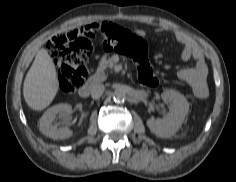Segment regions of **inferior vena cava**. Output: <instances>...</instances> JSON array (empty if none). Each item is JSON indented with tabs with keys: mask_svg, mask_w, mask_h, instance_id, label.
I'll use <instances>...</instances> for the list:
<instances>
[{
	"mask_svg": "<svg viewBox=\"0 0 236 182\" xmlns=\"http://www.w3.org/2000/svg\"><path fill=\"white\" fill-rule=\"evenodd\" d=\"M105 91V86L103 84H95L91 88V97L93 99H98Z\"/></svg>",
	"mask_w": 236,
	"mask_h": 182,
	"instance_id": "inferior-vena-cava-1",
	"label": "inferior vena cava"
}]
</instances>
